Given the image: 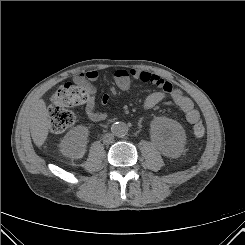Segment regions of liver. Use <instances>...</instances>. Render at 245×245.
<instances>
[{
    "label": "liver",
    "mask_w": 245,
    "mask_h": 245,
    "mask_svg": "<svg viewBox=\"0 0 245 245\" xmlns=\"http://www.w3.org/2000/svg\"><path fill=\"white\" fill-rule=\"evenodd\" d=\"M50 120L44 100L40 99L34 103L31 114L30 131L33 142L36 146L41 147L48 136Z\"/></svg>",
    "instance_id": "liver-1"
}]
</instances>
